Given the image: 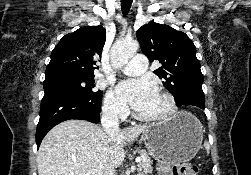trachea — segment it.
Here are the masks:
<instances>
[{
    "mask_svg": "<svg viewBox=\"0 0 251 175\" xmlns=\"http://www.w3.org/2000/svg\"><path fill=\"white\" fill-rule=\"evenodd\" d=\"M132 0H121V9L124 16H126L131 8Z\"/></svg>",
    "mask_w": 251,
    "mask_h": 175,
    "instance_id": "obj_1",
    "label": "trachea"
}]
</instances>
